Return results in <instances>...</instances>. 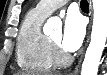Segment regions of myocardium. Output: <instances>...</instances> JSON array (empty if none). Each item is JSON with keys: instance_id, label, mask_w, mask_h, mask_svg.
Returning <instances> with one entry per match:
<instances>
[{"instance_id": "1", "label": "myocardium", "mask_w": 107, "mask_h": 75, "mask_svg": "<svg viewBox=\"0 0 107 75\" xmlns=\"http://www.w3.org/2000/svg\"><path fill=\"white\" fill-rule=\"evenodd\" d=\"M49 39L50 47H51V53L52 58L54 61V64L57 66H65L70 63V56L67 55L62 48L60 47V44L53 41L51 38Z\"/></svg>"}]
</instances>
